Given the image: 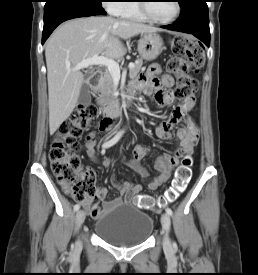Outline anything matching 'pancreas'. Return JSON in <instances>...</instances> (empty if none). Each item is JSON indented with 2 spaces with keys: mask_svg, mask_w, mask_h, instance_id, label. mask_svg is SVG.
<instances>
[{
  "mask_svg": "<svg viewBox=\"0 0 258 275\" xmlns=\"http://www.w3.org/2000/svg\"><path fill=\"white\" fill-rule=\"evenodd\" d=\"M143 64V60L141 58H137L134 62V67L129 70V77L135 78L139 73ZM113 88H114V79L109 71L104 73L102 83L98 87V91L100 93L98 104L105 105L111 101L115 100L113 95Z\"/></svg>",
  "mask_w": 258,
  "mask_h": 275,
  "instance_id": "obj_1",
  "label": "pancreas"
}]
</instances>
